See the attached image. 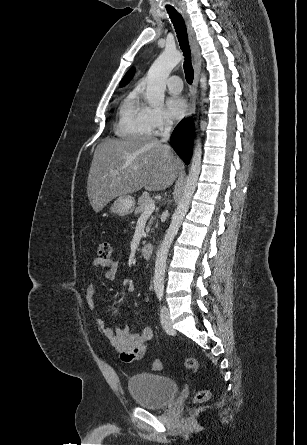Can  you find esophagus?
<instances>
[{
    "instance_id": "1",
    "label": "esophagus",
    "mask_w": 307,
    "mask_h": 445,
    "mask_svg": "<svg viewBox=\"0 0 307 445\" xmlns=\"http://www.w3.org/2000/svg\"><path fill=\"white\" fill-rule=\"evenodd\" d=\"M178 9L185 21V25L187 27V32H188V36H189V41L191 44V51H192V55L194 57V80H193L192 88L190 89V102H189V109L187 112V116L190 117L196 111V98H197L199 72H200V68H201L202 58L200 55V49H199L198 41L196 39L195 31L191 25V21L188 17L186 9L183 6V4H181V3H178Z\"/></svg>"
}]
</instances>
